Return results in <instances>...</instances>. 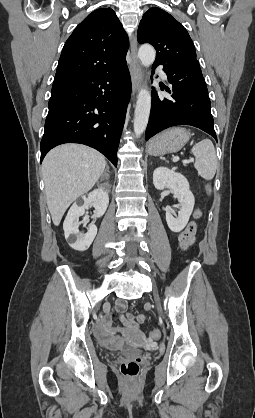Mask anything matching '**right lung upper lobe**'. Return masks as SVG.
I'll list each match as a JSON object with an SVG mask.
<instances>
[{"instance_id":"cb5924a9","label":"right lung upper lobe","mask_w":255,"mask_h":418,"mask_svg":"<svg viewBox=\"0 0 255 418\" xmlns=\"http://www.w3.org/2000/svg\"><path fill=\"white\" fill-rule=\"evenodd\" d=\"M128 37L111 8L90 13L67 39L54 81L108 72L126 64Z\"/></svg>"}]
</instances>
